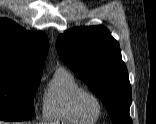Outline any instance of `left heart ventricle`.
Wrapping results in <instances>:
<instances>
[{"label":"left heart ventricle","mask_w":156,"mask_h":124,"mask_svg":"<svg viewBox=\"0 0 156 124\" xmlns=\"http://www.w3.org/2000/svg\"><path fill=\"white\" fill-rule=\"evenodd\" d=\"M83 107L89 117H95L98 114V104L92 98H85L83 101Z\"/></svg>","instance_id":"1"}]
</instances>
